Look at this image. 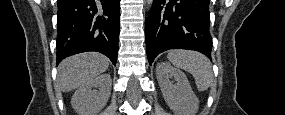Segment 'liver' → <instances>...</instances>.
I'll return each instance as SVG.
<instances>
[{
    "mask_svg": "<svg viewBox=\"0 0 285 115\" xmlns=\"http://www.w3.org/2000/svg\"><path fill=\"white\" fill-rule=\"evenodd\" d=\"M106 56L90 52L71 56L58 66V84L63 92L74 90L108 69Z\"/></svg>",
    "mask_w": 285,
    "mask_h": 115,
    "instance_id": "6515ba94",
    "label": "liver"
}]
</instances>
